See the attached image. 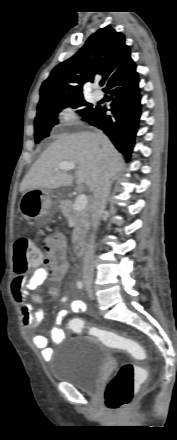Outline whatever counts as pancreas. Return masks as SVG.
Here are the masks:
<instances>
[{
	"label": "pancreas",
	"instance_id": "obj_1",
	"mask_svg": "<svg viewBox=\"0 0 177 440\" xmlns=\"http://www.w3.org/2000/svg\"><path fill=\"white\" fill-rule=\"evenodd\" d=\"M59 209L63 216L73 225L72 242L83 239L88 233L90 220L87 210H74L73 203L70 200L60 201Z\"/></svg>",
	"mask_w": 177,
	"mask_h": 440
}]
</instances>
